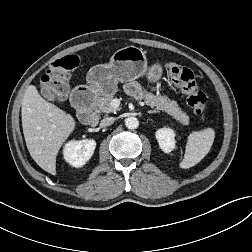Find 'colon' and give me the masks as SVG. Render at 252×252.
<instances>
[{"label":"colon","mask_w":252,"mask_h":252,"mask_svg":"<svg viewBox=\"0 0 252 252\" xmlns=\"http://www.w3.org/2000/svg\"><path fill=\"white\" fill-rule=\"evenodd\" d=\"M79 64L76 55H68L51 64L43 76V85L56 99L62 100L68 93V76ZM170 79L186 95L187 103L192 107L200 121H206L210 117L207 107V97L198 88L193 72L186 66L173 62L168 65Z\"/></svg>","instance_id":"colon-1"}]
</instances>
